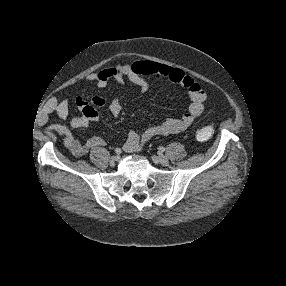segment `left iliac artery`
I'll return each mask as SVG.
<instances>
[{
	"instance_id": "left-iliac-artery-1",
	"label": "left iliac artery",
	"mask_w": 286,
	"mask_h": 286,
	"mask_svg": "<svg viewBox=\"0 0 286 286\" xmlns=\"http://www.w3.org/2000/svg\"><path fill=\"white\" fill-rule=\"evenodd\" d=\"M159 151H160V152H164V151H165V148H164V147H159Z\"/></svg>"
}]
</instances>
